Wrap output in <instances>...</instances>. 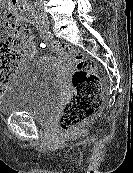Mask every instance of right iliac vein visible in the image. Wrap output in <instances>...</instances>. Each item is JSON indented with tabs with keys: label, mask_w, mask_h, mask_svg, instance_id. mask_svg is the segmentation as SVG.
I'll use <instances>...</instances> for the list:
<instances>
[{
	"label": "right iliac vein",
	"mask_w": 133,
	"mask_h": 173,
	"mask_svg": "<svg viewBox=\"0 0 133 173\" xmlns=\"http://www.w3.org/2000/svg\"><path fill=\"white\" fill-rule=\"evenodd\" d=\"M37 15L41 18V20L44 22V25L46 26V20L44 16L41 13H39V11H37Z\"/></svg>",
	"instance_id": "1"
}]
</instances>
